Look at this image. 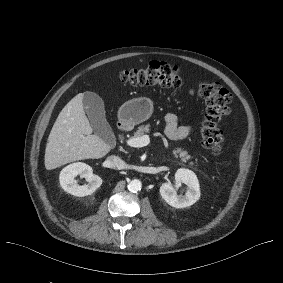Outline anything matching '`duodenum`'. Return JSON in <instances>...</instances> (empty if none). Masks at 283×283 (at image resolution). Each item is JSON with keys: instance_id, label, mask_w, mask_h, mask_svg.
<instances>
[{"instance_id": "1", "label": "duodenum", "mask_w": 283, "mask_h": 283, "mask_svg": "<svg viewBox=\"0 0 283 283\" xmlns=\"http://www.w3.org/2000/svg\"><path fill=\"white\" fill-rule=\"evenodd\" d=\"M118 129L119 130H123L124 129V125L123 124H118Z\"/></svg>"}]
</instances>
